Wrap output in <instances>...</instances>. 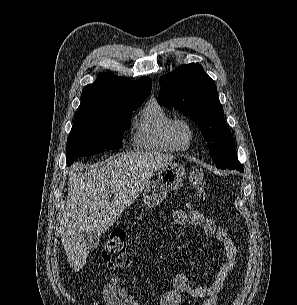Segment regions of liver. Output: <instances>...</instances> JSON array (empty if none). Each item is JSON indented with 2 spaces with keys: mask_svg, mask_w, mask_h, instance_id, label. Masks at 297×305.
Instances as JSON below:
<instances>
[{
  "mask_svg": "<svg viewBox=\"0 0 297 305\" xmlns=\"http://www.w3.org/2000/svg\"><path fill=\"white\" fill-rule=\"evenodd\" d=\"M173 159L174 156L160 152H130L105 160L84 173L71 170L60 235L75 272L82 269L89 254L83 233L105 232L138 198L155 172Z\"/></svg>",
  "mask_w": 297,
  "mask_h": 305,
  "instance_id": "1",
  "label": "liver"
}]
</instances>
